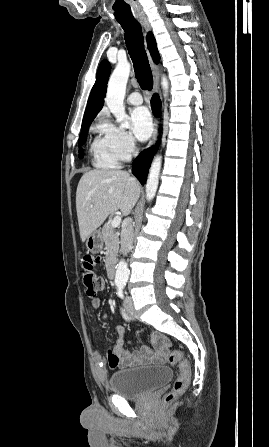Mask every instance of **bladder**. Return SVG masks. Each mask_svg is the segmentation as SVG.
I'll list each match as a JSON object with an SVG mask.
<instances>
[{"mask_svg": "<svg viewBox=\"0 0 269 447\" xmlns=\"http://www.w3.org/2000/svg\"><path fill=\"white\" fill-rule=\"evenodd\" d=\"M172 380L167 366H149L116 371L109 378L111 392L122 398H139Z\"/></svg>", "mask_w": 269, "mask_h": 447, "instance_id": "obj_1", "label": "bladder"}]
</instances>
